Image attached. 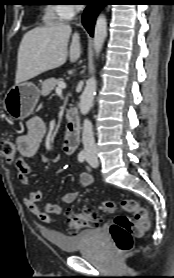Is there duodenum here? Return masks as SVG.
Segmentation results:
<instances>
[{
	"mask_svg": "<svg viewBox=\"0 0 174 278\" xmlns=\"http://www.w3.org/2000/svg\"><path fill=\"white\" fill-rule=\"evenodd\" d=\"M80 134V123L78 113L70 109L67 112V127L64 136V149L70 152L72 146L78 142Z\"/></svg>",
	"mask_w": 174,
	"mask_h": 278,
	"instance_id": "410a0bca",
	"label": "duodenum"
}]
</instances>
